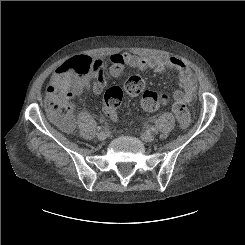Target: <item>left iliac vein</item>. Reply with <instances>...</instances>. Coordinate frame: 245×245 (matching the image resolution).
Wrapping results in <instances>:
<instances>
[{"label":"left iliac vein","mask_w":245,"mask_h":245,"mask_svg":"<svg viewBox=\"0 0 245 245\" xmlns=\"http://www.w3.org/2000/svg\"><path fill=\"white\" fill-rule=\"evenodd\" d=\"M141 139L145 142H152L154 141L155 138L153 135H150L148 133H143L141 134Z\"/></svg>","instance_id":"1"}]
</instances>
